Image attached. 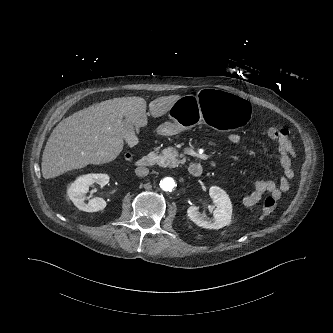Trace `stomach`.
<instances>
[{
    "label": "stomach",
    "mask_w": 333,
    "mask_h": 333,
    "mask_svg": "<svg viewBox=\"0 0 333 333\" xmlns=\"http://www.w3.org/2000/svg\"><path fill=\"white\" fill-rule=\"evenodd\" d=\"M172 121L162 123L157 133L172 136L190 128L198 115L217 130L240 128L249 123L253 115L251 103L245 97L229 90L210 87L198 96L180 97L170 108Z\"/></svg>",
    "instance_id": "1"
}]
</instances>
